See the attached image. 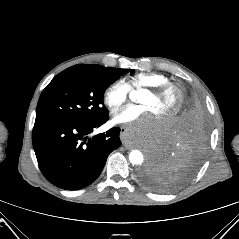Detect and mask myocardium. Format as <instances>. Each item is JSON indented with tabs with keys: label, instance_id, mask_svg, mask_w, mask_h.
Segmentation results:
<instances>
[{
	"label": "myocardium",
	"instance_id": "myocardium-1",
	"mask_svg": "<svg viewBox=\"0 0 239 239\" xmlns=\"http://www.w3.org/2000/svg\"><path fill=\"white\" fill-rule=\"evenodd\" d=\"M144 91L151 93L155 97H161L167 94L174 95L175 103L173 107L163 114V116L166 118L175 116L181 110L185 100L183 91L173 83H166L155 87H148L145 88Z\"/></svg>",
	"mask_w": 239,
	"mask_h": 239
}]
</instances>
